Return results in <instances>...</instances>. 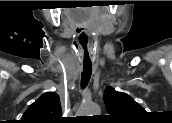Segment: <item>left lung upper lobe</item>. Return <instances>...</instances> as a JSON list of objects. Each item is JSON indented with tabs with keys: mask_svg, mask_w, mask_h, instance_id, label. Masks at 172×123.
<instances>
[{
	"mask_svg": "<svg viewBox=\"0 0 172 123\" xmlns=\"http://www.w3.org/2000/svg\"><path fill=\"white\" fill-rule=\"evenodd\" d=\"M104 101L110 119L117 121H128L139 118L145 114L142 108L134 99L123 92L108 87L104 93Z\"/></svg>",
	"mask_w": 172,
	"mask_h": 123,
	"instance_id": "5c2ea615",
	"label": "left lung upper lobe"
}]
</instances>
